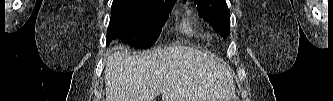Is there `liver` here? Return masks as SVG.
<instances>
[{"instance_id":"liver-1","label":"liver","mask_w":333,"mask_h":101,"mask_svg":"<svg viewBox=\"0 0 333 101\" xmlns=\"http://www.w3.org/2000/svg\"><path fill=\"white\" fill-rule=\"evenodd\" d=\"M106 101H232L234 82L219 60L186 46L155 48L130 56L106 52Z\"/></svg>"}]
</instances>
